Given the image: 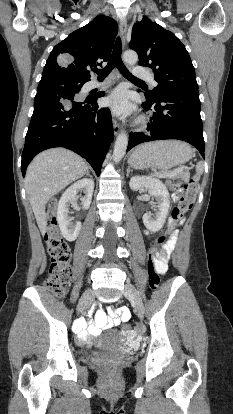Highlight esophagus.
Wrapping results in <instances>:
<instances>
[{"label":"esophagus","instance_id":"obj_1","mask_svg":"<svg viewBox=\"0 0 233 414\" xmlns=\"http://www.w3.org/2000/svg\"><path fill=\"white\" fill-rule=\"evenodd\" d=\"M119 30H120V36L122 40L123 48L126 45V33H127V22L125 18H121L119 22ZM113 130L114 135L117 136L121 130L119 123L116 119L113 120Z\"/></svg>","mask_w":233,"mask_h":414}]
</instances>
